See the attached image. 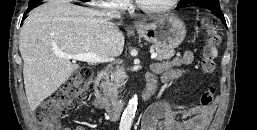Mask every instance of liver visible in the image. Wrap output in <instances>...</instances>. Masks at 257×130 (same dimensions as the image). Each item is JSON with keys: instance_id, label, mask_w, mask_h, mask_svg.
Returning <instances> with one entry per match:
<instances>
[{"instance_id": "6515ba94", "label": "liver", "mask_w": 257, "mask_h": 130, "mask_svg": "<svg viewBox=\"0 0 257 130\" xmlns=\"http://www.w3.org/2000/svg\"><path fill=\"white\" fill-rule=\"evenodd\" d=\"M103 12L49 0L32 10L20 31L27 100L34 111L64 84L78 65L56 53L119 56L124 36Z\"/></svg>"}]
</instances>
